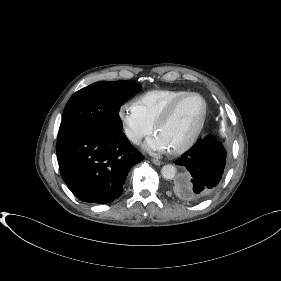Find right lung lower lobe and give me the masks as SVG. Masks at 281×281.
<instances>
[{"mask_svg":"<svg viewBox=\"0 0 281 281\" xmlns=\"http://www.w3.org/2000/svg\"><path fill=\"white\" fill-rule=\"evenodd\" d=\"M61 176L80 200L109 203L122 193L130 169L143 158L122 131L84 132L56 143Z\"/></svg>","mask_w":281,"mask_h":281,"instance_id":"98d812e1","label":"right lung lower lobe"}]
</instances>
